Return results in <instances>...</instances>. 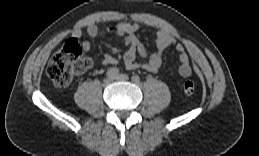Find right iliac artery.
Segmentation results:
<instances>
[{
  "label": "right iliac artery",
  "instance_id": "1",
  "mask_svg": "<svg viewBox=\"0 0 259 156\" xmlns=\"http://www.w3.org/2000/svg\"><path fill=\"white\" fill-rule=\"evenodd\" d=\"M118 73H119V69L113 67L107 71L106 75L108 78H115L118 75Z\"/></svg>",
  "mask_w": 259,
  "mask_h": 156
}]
</instances>
